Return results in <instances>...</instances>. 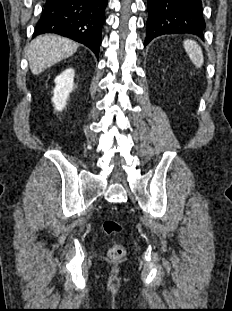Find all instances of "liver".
Masks as SVG:
<instances>
[{
	"instance_id": "6515ba94",
	"label": "liver",
	"mask_w": 232,
	"mask_h": 311,
	"mask_svg": "<svg viewBox=\"0 0 232 311\" xmlns=\"http://www.w3.org/2000/svg\"><path fill=\"white\" fill-rule=\"evenodd\" d=\"M77 48V43L59 35L38 36L28 48L30 70L34 75H38L48 67L73 55Z\"/></svg>"
}]
</instances>
